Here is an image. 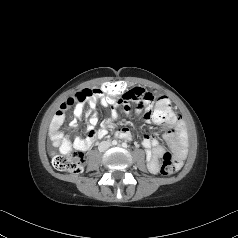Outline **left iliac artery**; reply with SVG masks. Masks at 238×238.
<instances>
[{"instance_id":"1","label":"left iliac artery","mask_w":238,"mask_h":238,"mask_svg":"<svg viewBox=\"0 0 238 238\" xmlns=\"http://www.w3.org/2000/svg\"><path fill=\"white\" fill-rule=\"evenodd\" d=\"M122 147L127 148V143H122Z\"/></svg>"}]
</instances>
